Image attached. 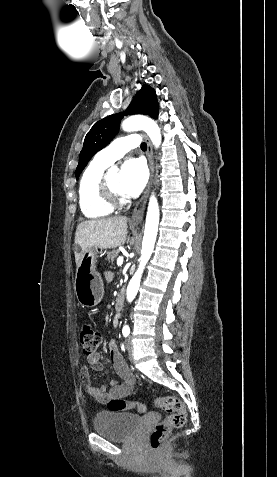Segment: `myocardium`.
Wrapping results in <instances>:
<instances>
[{"mask_svg": "<svg viewBox=\"0 0 277 477\" xmlns=\"http://www.w3.org/2000/svg\"><path fill=\"white\" fill-rule=\"evenodd\" d=\"M108 173L104 172L101 176L98 186L97 193L99 198L108 206L115 208L122 204L123 199L120 193L113 190L110 185Z\"/></svg>", "mask_w": 277, "mask_h": 477, "instance_id": "f54148a6", "label": "myocardium"}]
</instances>
